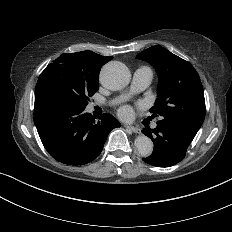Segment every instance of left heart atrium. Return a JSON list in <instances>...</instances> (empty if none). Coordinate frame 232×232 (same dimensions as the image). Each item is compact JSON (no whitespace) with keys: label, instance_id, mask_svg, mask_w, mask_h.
Instances as JSON below:
<instances>
[{"label":"left heart atrium","instance_id":"39dd6f15","mask_svg":"<svg viewBox=\"0 0 232 232\" xmlns=\"http://www.w3.org/2000/svg\"><path fill=\"white\" fill-rule=\"evenodd\" d=\"M120 115L127 116L131 113V110L129 107H123L119 110Z\"/></svg>","mask_w":232,"mask_h":232}]
</instances>
